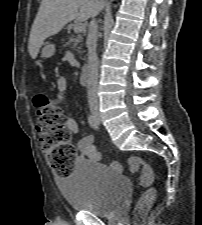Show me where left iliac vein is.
<instances>
[{
	"mask_svg": "<svg viewBox=\"0 0 202 225\" xmlns=\"http://www.w3.org/2000/svg\"><path fill=\"white\" fill-rule=\"evenodd\" d=\"M97 123L100 124V118L99 117L97 118Z\"/></svg>",
	"mask_w": 202,
	"mask_h": 225,
	"instance_id": "left-iliac-vein-1",
	"label": "left iliac vein"
}]
</instances>
